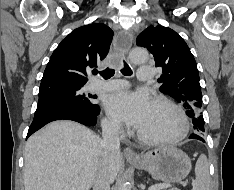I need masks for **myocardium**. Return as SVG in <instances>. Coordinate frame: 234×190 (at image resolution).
Listing matches in <instances>:
<instances>
[{"mask_svg": "<svg viewBox=\"0 0 234 190\" xmlns=\"http://www.w3.org/2000/svg\"><path fill=\"white\" fill-rule=\"evenodd\" d=\"M152 103H161V104L166 105L170 109H172L179 119L180 128L178 132H176L175 134L167 135V136H147L138 130L137 131L138 139L142 141L143 143L149 144V145L175 143V142H179L183 140L189 132V122H188L187 115L185 114L182 107L178 105L172 99L163 95L155 96L152 100Z\"/></svg>", "mask_w": 234, "mask_h": 190, "instance_id": "obj_1", "label": "myocardium"}]
</instances>
